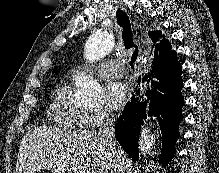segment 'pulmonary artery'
I'll return each instance as SVG.
<instances>
[{"instance_id":"pulmonary-artery-1","label":"pulmonary artery","mask_w":219,"mask_h":173,"mask_svg":"<svg viewBox=\"0 0 219 173\" xmlns=\"http://www.w3.org/2000/svg\"><path fill=\"white\" fill-rule=\"evenodd\" d=\"M96 74L102 79L119 78L124 73V68L120 60H112L109 62L100 63L95 68ZM78 71L72 70L70 75L75 77Z\"/></svg>"}]
</instances>
